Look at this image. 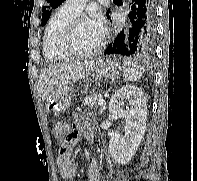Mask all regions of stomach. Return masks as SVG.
Returning a JSON list of instances; mask_svg holds the SVG:
<instances>
[{
	"label": "stomach",
	"instance_id": "1",
	"mask_svg": "<svg viewBox=\"0 0 197 181\" xmlns=\"http://www.w3.org/2000/svg\"><path fill=\"white\" fill-rule=\"evenodd\" d=\"M121 71L122 66L117 60L111 58L99 59L95 61L90 77L93 80L108 81L117 78ZM72 98L73 87L69 84H63L51 92L46 105L55 112H64L70 107Z\"/></svg>",
	"mask_w": 197,
	"mask_h": 181
}]
</instances>
